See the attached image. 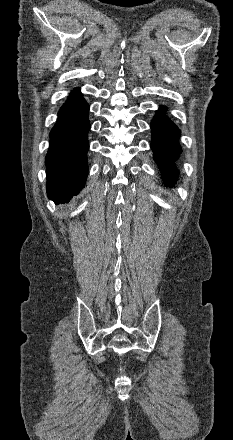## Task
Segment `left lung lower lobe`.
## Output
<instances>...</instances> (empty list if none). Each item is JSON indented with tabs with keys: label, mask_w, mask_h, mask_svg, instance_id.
Masks as SVG:
<instances>
[{
	"label": "left lung lower lobe",
	"mask_w": 233,
	"mask_h": 440,
	"mask_svg": "<svg viewBox=\"0 0 233 440\" xmlns=\"http://www.w3.org/2000/svg\"><path fill=\"white\" fill-rule=\"evenodd\" d=\"M164 107L157 111L151 122L154 160L163 170V180L167 186H173L177 179L175 160L182 152L179 145V128L165 115Z\"/></svg>",
	"instance_id": "0a47b994"
}]
</instances>
